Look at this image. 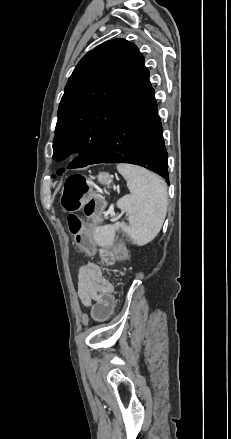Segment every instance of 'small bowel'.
<instances>
[{
	"instance_id": "small-bowel-1",
	"label": "small bowel",
	"mask_w": 231,
	"mask_h": 439,
	"mask_svg": "<svg viewBox=\"0 0 231 439\" xmlns=\"http://www.w3.org/2000/svg\"><path fill=\"white\" fill-rule=\"evenodd\" d=\"M99 255L107 265L116 262V254L109 248L100 247ZM104 289L113 291V285L103 276L100 266L93 262L81 266L78 275V294L82 304L93 308L97 294Z\"/></svg>"
}]
</instances>
